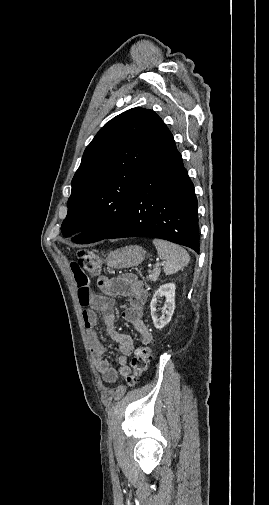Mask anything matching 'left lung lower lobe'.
Here are the masks:
<instances>
[{"label": "left lung lower lobe", "mask_w": 269, "mask_h": 505, "mask_svg": "<svg viewBox=\"0 0 269 505\" xmlns=\"http://www.w3.org/2000/svg\"><path fill=\"white\" fill-rule=\"evenodd\" d=\"M198 202L181 154L163 123L146 159L127 210L103 239L154 237L199 253Z\"/></svg>", "instance_id": "obj_1"}]
</instances>
